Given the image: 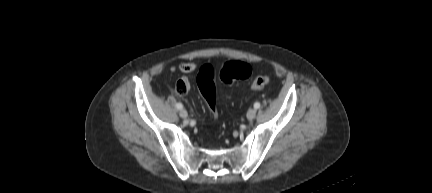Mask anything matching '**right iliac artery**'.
Wrapping results in <instances>:
<instances>
[{
	"label": "right iliac artery",
	"instance_id": "right-iliac-artery-1",
	"mask_svg": "<svg viewBox=\"0 0 432 193\" xmlns=\"http://www.w3.org/2000/svg\"><path fill=\"white\" fill-rule=\"evenodd\" d=\"M176 107H177L178 109H182V108H183V105H182L181 103H177V104H176Z\"/></svg>",
	"mask_w": 432,
	"mask_h": 193
}]
</instances>
